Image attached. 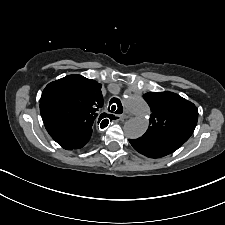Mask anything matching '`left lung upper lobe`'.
<instances>
[{
  "mask_svg": "<svg viewBox=\"0 0 225 225\" xmlns=\"http://www.w3.org/2000/svg\"><path fill=\"white\" fill-rule=\"evenodd\" d=\"M152 114L150 126L142 137L185 143L198 120V110L190 101L172 92H149L143 95Z\"/></svg>",
  "mask_w": 225,
  "mask_h": 225,
  "instance_id": "left-lung-upper-lobe-1",
  "label": "left lung upper lobe"
}]
</instances>
